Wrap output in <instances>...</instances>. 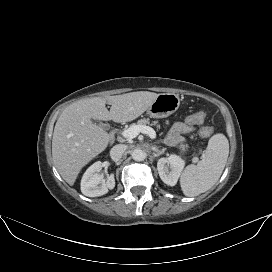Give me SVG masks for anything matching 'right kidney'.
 Returning a JSON list of instances; mask_svg holds the SVG:
<instances>
[{"label": "right kidney", "instance_id": "ca27d5eb", "mask_svg": "<svg viewBox=\"0 0 272 272\" xmlns=\"http://www.w3.org/2000/svg\"><path fill=\"white\" fill-rule=\"evenodd\" d=\"M102 169L100 161L91 165L84 173L81 180V192L88 197H97L106 194L109 190L115 187V178L111 174L104 179L99 172Z\"/></svg>", "mask_w": 272, "mask_h": 272}]
</instances>
